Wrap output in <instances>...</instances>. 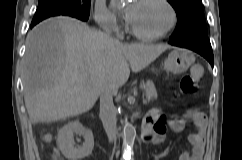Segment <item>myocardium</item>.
<instances>
[{
    "instance_id": "1",
    "label": "myocardium",
    "mask_w": 242,
    "mask_h": 160,
    "mask_svg": "<svg viewBox=\"0 0 242 160\" xmlns=\"http://www.w3.org/2000/svg\"><path fill=\"white\" fill-rule=\"evenodd\" d=\"M159 1L162 2L164 5H166V7L169 9V11L171 13V21H170L169 25L167 26V28L157 34H152V35L142 34V33L138 32L131 25L130 21H128V29L133 36H135L138 39L145 40V41H154V40H158V39L165 37L175 28V26L177 25V22H178V14H177L176 8L174 7V5L171 3L170 0H159Z\"/></svg>"
}]
</instances>
